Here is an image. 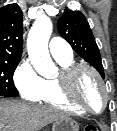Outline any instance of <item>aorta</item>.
<instances>
[{"label": "aorta", "mask_w": 117, "mask_h": 131, "mask_svg": "<svg viewBox=\"0 0 117 131\" xmlns=\"http://www.w3.org/2000/svg\"><path fill=\"white\" fill-rule=\"evenodd\" d=\"M52 29L50 18L39 17L31 27L27 38L29 59L37 73L43 77H51L55 70V64L48 50Z\"/></svg>", "instance_id": "1"}]
</instances>
